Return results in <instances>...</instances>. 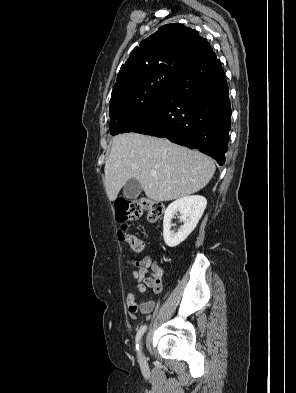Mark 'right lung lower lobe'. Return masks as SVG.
<instances>
[{"mask_svg": "<svg viewBox=\"0 0 296 393\" xmlns=\"http://www.w3.org/2000/svg\"><path fill=\"white\" fill-rule=\"evenodd\" d=\"M231 105L225 73L211 49L182 72L171 89L120 133L136 132L199 151L225 163Z\"/></svg>", "mask_w": 296, "mask_h": 393, "instance_id": "98d812e1", "label": "right lung lower lobe"}]
</instances>
